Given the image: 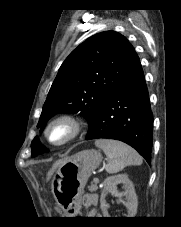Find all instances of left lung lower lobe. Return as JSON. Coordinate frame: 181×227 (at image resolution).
Returning <instances> with one entry per match:
<instances>
[{"mask_svg": "<svg viewBox=\"0 0 181 227\" xmlns=\"http://www.w3.org/2000/svg\"><path fill=\"white\" fill-rule=\"evenodd\" d=\"M99 138L127 143L150 164L153 114L138 57L104 103L97 121L86 137L87 140Z\"/></svg>", "mask_w": 181, "mask_h": 227, "instance_id": "left-lung-lower-lobe-1", "label": "left lung lower lobe"}]
</instances>
